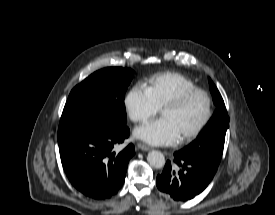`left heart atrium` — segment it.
Listing matches in <instances>:
<instances>
[{
    "label": "left heart atrium",
    "mask_w": 275,
    "mask_h": 215,
    "mask_svg": "<svg viewBox=\"0 0 275 215\" xmlns=\"http://www.w3.org/2000/svg\"><path fill=\"white\" fill-rule=\"evenodd\" d=\"M134 134L152 145H172L180 139L174 124L163 117L136 128Z\"/></svg>",
    "instance_id": "left-heart-atrium-1"
}]
</instances>
